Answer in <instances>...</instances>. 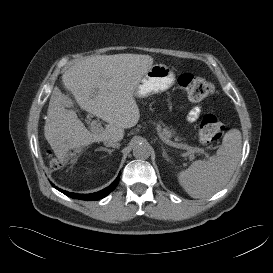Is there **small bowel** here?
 I'll return each instance as SVG.
<instances>
[{"label":"small bowel","instance_id":"small-bowel-1","mask_svg":"<svg viewBox=\"0 0 273 273\" xmlns=\"http://www.w3.org/2000/svg\"><path fill=\"white\" fill-rule=\"evenodd\" d=\"M199 113H200V109H199V108L193 109V110L191 111V113H190V118H191V119L197 118V116L199 115Z\"/></svg>","mask_w":273,"mask_h":273}]
</instances>
